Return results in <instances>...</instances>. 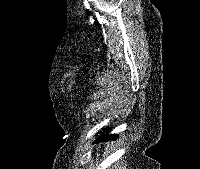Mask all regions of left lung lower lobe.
Here are the masks:
<instances>
[{
    "label": "left lung lower lobe",
    "mask_w": 200,
    "mask_h": 169,
    "mask_svg": "<svg viewBox=\"0 0 200 169\" xmlns=\"http://www.w3.org/2000/svg\"><path fill=\"white\" fill-rule=\"evenodd\" d=\"M116 139L117 138V135H103L102 137H100L97 141H103V140H108V139Z\"/></svg>",
    "instance_id": "0a47b994"
}]
</instances>
